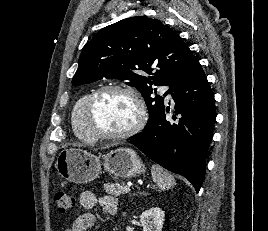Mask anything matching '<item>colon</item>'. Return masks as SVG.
<instances>
[{
  "instance_id": "1",
  "label": "colon",
  "mask_w": 268,
  "mask_h": 231,
  "mask_svg": "<svg viewBox=\"0 0 268 231\" xmlns=\"http://www.w3.org/2000/svg\"><path fill=\"white\" fill-rule=\"evenodd\" d=\"M55 204L59 213H65L75 205V198L63 191H59L55 195Z\"/></svg>"
}]
</instances>
